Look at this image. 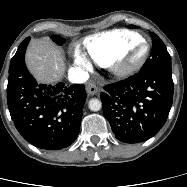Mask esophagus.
<instances>
[{
    "instance_id": "esophagus-1",
    "label": "esophagus",
    "mask_w": 187,
    "mask_h": 187,
    "mask_svg": "<svg viewBox=\"0 0 187 187\" xmlns=\"http://www.w3.org/2000/svg\"><path fill=\"white\" fill-rule=\"evenodd\" d=\"M86 91L89 95H95L99 92V89L95 84L88 83L86 86Z\"/></svg>"
}]
</instances>
